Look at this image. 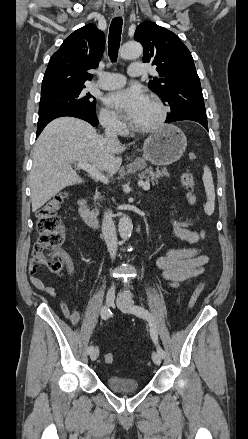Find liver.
Returning a JSON list of instances; mask_svg holds the SVG:
<instances>
[{
    "mask_svg": "<svg viewBox=\"0 0 248 439\" xmlns=\"http://www.w3.org/2000/svg\"><path fill=\"white\" fill-rule=\"evenodd\" d=\"M125 149L119 141L98 135L94 127L81 119L53 120L44 128L33 149L32 211L36 212L65 187L83 182L72 163L92 164L97 170L113 175L122 164L116 155Z\"/></svg>",
    "mask_w": 248,
    "mask_h": 439,
    "instance_id": "1",
    "label": "liver"
}]
</instances>
